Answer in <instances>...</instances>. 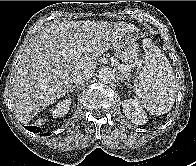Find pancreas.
I'll return each instance as SVG.
<instances>
[{
  "instance_id": "pancreas-1",
  "label": "pancreas",
  "mask_w": 196,
  "mask_h": 166,
  "mask_svg": "<svg viewBox=\"0 0 196 166\" xmlns=\"http://www.w3.org/2000/svg\"><path fill=\"white\" fill-rule=\"evenodd\" d=\"M122 72L125 73V75H126L127 77H130V76H131L129 70H123V69H122Z\"/></svg>"
}]
</instances>
